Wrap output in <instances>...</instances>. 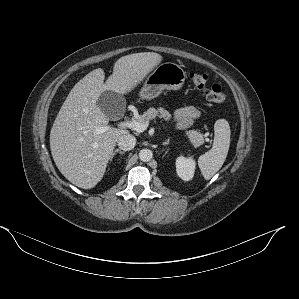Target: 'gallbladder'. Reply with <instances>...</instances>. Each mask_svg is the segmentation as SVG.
Returning <instances> with one entry per match:
<instances>
[{
	"mask_svg": "<svg viewBox=\"0 0 299 299\" xmlns=\"http://www.w3.org/2000/svg\"><path fill=\"white\" fill-rule=\"evenodd\" d=\"M97 106L109 119H119L124 115L126 100L123 95L107 90L99 96Z\"/></svg>",
	"mask_w": 299,
	"mask_h": 299,
	"instance_id": "bac80fb5",
	"label": "gallbladder"
}]
</instances>
